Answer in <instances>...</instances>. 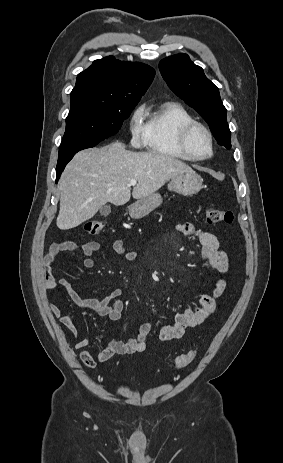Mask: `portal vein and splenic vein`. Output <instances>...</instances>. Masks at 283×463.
<instances>
[{"label": "portal vein and splenic vein", "instance_id": "1", "mask_svg": "<svg viewBox=\"0 0 283 463\" xmlns=\"http://www.w3.org/2000/svg\"><path fill=\"white\" fill-rule=\"evenodd\" d=\"M137 184V181L135 179L130 180V186H135Z\"/></svg>", "mask_w": 283, "mask_h": 463}]
</instances>
